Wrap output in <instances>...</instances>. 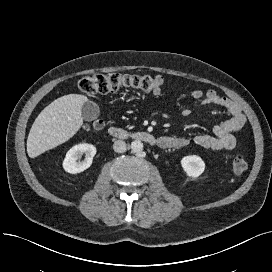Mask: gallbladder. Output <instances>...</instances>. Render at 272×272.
I'll return each mask as SVG.
<instances>
[{
    "label": "gallbladder",
    "instance_id": "bac80fb5",
    "mask_svg": "<svg viewBox=\"0 0 272 272\" xmlns=\"http://www.w3.org/2000/svg\"><path fill=\"white\" fill-rule=\"evenodd\" d=\"M100 113L99 107L96 103L92 101H87L82 107V118L85 121L95 120Z\"/></svg>",
    "mask_w": 272,
    "mask_h": 272
}]
</instances>
